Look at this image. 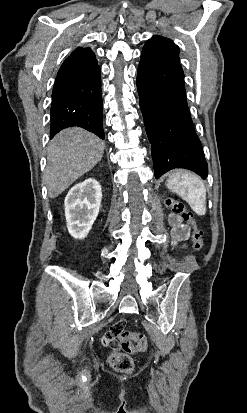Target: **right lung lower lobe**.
Instances as JSON below:
<instances>
[{
	"label": "right lung lower lobe",
	"instance_id": "98d812e1",
	"mask_svg": "<svg viewBox=\"0 0 247 413\" xmlns=\"http://www.w3.org/2000/svg\"><path fill=\"white\" fill-rule=\"evenodd\" d=\"M79 126L104 139L101 71L95 62L60 68L52 92L50 137Z\"/></svg>",
	"mask_w": 247,
	"mask_h": 413
}]
</instances>
